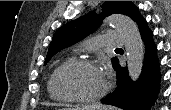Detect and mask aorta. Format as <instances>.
I'll return each mask as SVG.
<instances>
[{"label":"aorta","mask_w":171,"mask_h":110,"mask_svg":"<svg viewBox=\"0 0 171 110\" xmlns=\"http://www.w3.org/2000/svg\"><path fill=\"white\" fill-rule=\"evenodd\" d=\"M106 23L122 36L125 42L128 74L131 80L136 81L141 75L144 59V45L138 26L131 18L120 14L108 17Z\"/></svg>","instance_id":"762f6f07"}]
</instances>
